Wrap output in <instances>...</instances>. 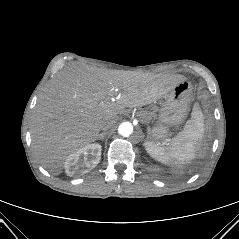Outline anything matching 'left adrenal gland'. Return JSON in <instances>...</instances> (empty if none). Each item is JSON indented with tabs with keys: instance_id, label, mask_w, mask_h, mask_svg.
Segmentation results:
<instances>
[{
	"instance_id": "left-adrenal-gland-1",
	"label": "left adrenal gland",
	"mask_w": 239,
	"mask_h": 239,
	"mask_svg": "<svg viewBox=\"0 0 239 239\" xmlns=\"http://www.w3.org/2000/svg\"><path fill=\"white\" fill-rule=\"evenodd\" d=\"M150 131V128L148 127V132ZM149 134V133H148ZM143 146H145V143L143 144Z\"/></svg>"
}]
</instances>
